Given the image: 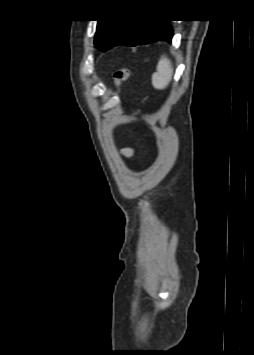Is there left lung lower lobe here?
Returning a JSON list of instances; mask_svg holds the SVG:
<instances>
[{"mask_svg":"<svg viewBox=\"0 0 254 355\" xmlns=\"http://www.w3.org/2000/svg\"><path fill=\"white\" fill-rule=\"evenodd\" d=\"M172 37L173 30L168 20L132 19L127 23L114 46L122 44L136 46L140 43L170 41Z\"/></svg>","mask_w":254,"mask_h":355,"instance_id":"obj_1","label":"left lung lower lobe"}]
</instances>
